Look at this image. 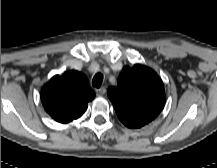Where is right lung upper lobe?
I'll use <instances>...</instances> for the list:
<instances>
[{
    "instance_id": "cb5924a9",
    "label": "right lung upper lobe",
    "mask_w": 217,
    "mask_h": 168,
    "mask_svg": "<svg viewBox=\"0 0 217 168\" xmlns=\"http://www.w3.org/2000/svg\"><path fill=\"white\" fill-rule=\"evenodd\" d=\"M93 99L94 93L85 75L76 70L52 77L41 91L46 112L63 124L80 118Z\"/></svg>"
}]
</instances>
